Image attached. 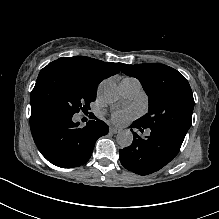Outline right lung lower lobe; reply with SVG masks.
Listing matches in <instances>:
<instances>
[{
  "mask_svg": "<svg viewBox=\"0 0 219 219\" xmlns=\"http://www.w3.org/2000/svg\"><path fill=\"white\" fill-rule=\"evenodd\" d=\"M74 118L52 105H31L30 129L35 144L42 155L58 167L71 168L86 163L96 140L108 133V125L101 120H90L81 128Z\"/></svg>",
  "mask_w": 219,
  "mask_h": 219,
  "instance_id": "obj_1",
  "label": "right lung lower lobe"
}]
</instances>
